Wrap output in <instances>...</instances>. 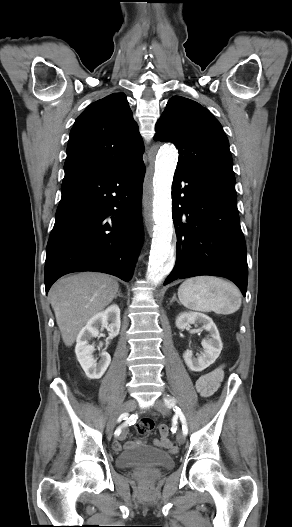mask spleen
Wrapping results in <instances>:
<instances>
[{
    "mask_svg": "<svg viewBox=\"0 0 292 527\" xmlns=\"http://www.w3.org/2000/svg\"><path fill=\"white\" fill-rule=\"evenodd\" d=\"M178 298L186 308L231 314L241 306V293L233 284L211 276L186 279L178 288Z\"/></svg>",
    "mask_w": 292,
    "mask_h": 527,
    "instance_id": "3e777b00",
    "label": "spleen"
}]
</instances>
